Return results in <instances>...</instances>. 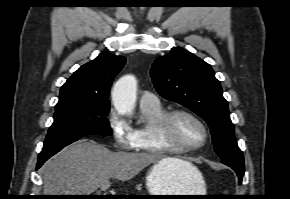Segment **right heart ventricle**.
<instances>
[{"mask_svg":"<svg viewBox=\"0 0 290 199\" xmlns=\"http://www.w3.org/2000/svg\"><path fill=\"white\" fill-rule=\"evenodd\" d=\"M140 109L146 122L133 129V150L135 152L151 155L174 154L175 152L167 150L162 144H160L155 136L156 123L166 114V110L161 106H140Z\"/></svg>","mask_w":290,"mask_h":199,"instance_id":"1","label":"right heart ventricle"}]
</instances>
